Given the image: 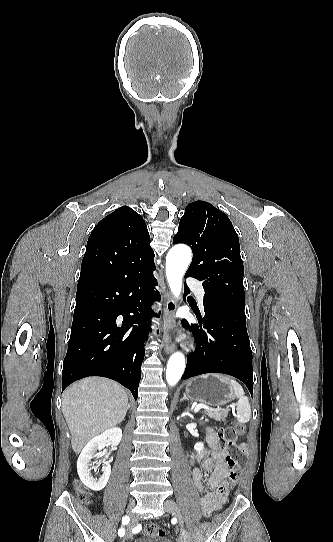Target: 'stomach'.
<instances>
[{"label": "stomach", "mask_w": 333, "mask_h": 542, "mask_svg": "<svg viewBox=\"0 0 333 542\" xmlns=\"http://www.w3.org/2000/svg\"><path fill=\"white\" fill-rule=\"evenodd\" d=\"M185 394L190 400L207 406H226L235 400L230 384L220 382L214 374H205L188 380Z\"/></svg>", "instance_id": "stomach-1"}]
</instances>
